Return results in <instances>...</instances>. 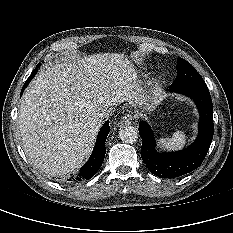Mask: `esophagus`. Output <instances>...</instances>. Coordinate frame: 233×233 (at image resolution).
Segmentation results:
<instances>
[{
  "label": "esophagus",
  "instance_id": "obj_1",
  "mask_svg": "<svg viewBox=\"0 0 233 233\" xmlns=\"http://www.w3.org/2000/svg\"><path fill=\"white\" fill-rule=\"evenodd\" d=\"M134 117L131 114H126L122 117L121 121L119 122L120 125H129L132 123Z\"/></svg>",
  "mask_w": 233,
  "mask_h": 233
}]
</instances>
